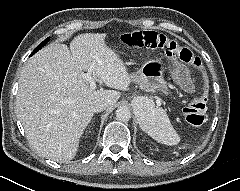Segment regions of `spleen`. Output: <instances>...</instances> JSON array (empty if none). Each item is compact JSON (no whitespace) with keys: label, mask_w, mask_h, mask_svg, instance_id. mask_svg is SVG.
Instances as JSON below:
<instances>
[{"label":"spleen","mask_w":240,"mask_h":191,"mask_svg":"<svg viewBox=\"0 0 240 191\" xmlns=\"http://www.w3.org/2000/svg\"><path fill=\"white\" fill-rule=\"evenodd\" d=\"M141 128L157 142L165 145H176L180 137L174 130L170 120L163 109H157L150 104L143 116Z\"/></svg>","instance_id":"obj_1"}]
</instances>
